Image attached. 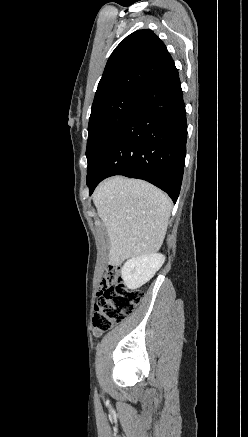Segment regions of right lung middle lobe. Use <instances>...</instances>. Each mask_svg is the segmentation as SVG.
Segmentation results:
<instances>
[{"mask_svg":"<svg viewBox=\"0 0 248 437\" xmlns=\"http://www.w3.org/2000/svg\"><path fill=\"white\" fill-rule=\"evenodd\" d=\"M138 94L136 91L123 93L91 110L86 148L87 174L104 145L127 116Z\"/></svg>","mask_w":248,"mask_h":437,"instance_id":"obj_1","label":"right lung middle lobe"}]
</instances>
